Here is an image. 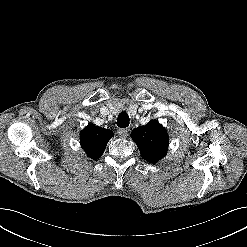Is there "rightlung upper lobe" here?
<instances>
[{
    "label": "right lung upper lobe",
    "instance_id": "cb5924a9",
    "mask_svg": "<svg viewBox=\"0 0 247 247\" xmlns=\"http://www.w3.org/2000/svg\"><path fill=\"white\" fill-rule=\"evenodd\" d=\"M112 136L113 132L111 130L88 125L80 133L82 148L90 158L96 160L101 157Z\"/></svg>",
    "mask_w": 247,
    "mask_h": 247
}]
</instances>
